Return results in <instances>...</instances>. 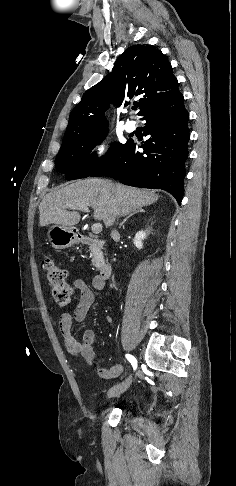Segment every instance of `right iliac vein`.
<instances>
[{
  "mask_svg": "<svg viewBox=\"0 0 236 486\" xmlns=\"http://www.w3.org/2000/svg\"><path fill=\"white\" fill-rule=\"evenodd\" d=\"M130 384H131V379L129 378L126 381L122 382L121 384L112 387L108 391L107 397L112 398L121 395L129 388Z\"/></svg>",
  "mask_w": 236,
  "mask_h": 486,
  "instance_id": "1",
  "label": "right iliac vein"
}]
</instances>
